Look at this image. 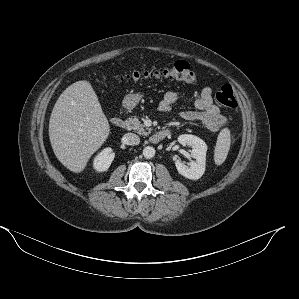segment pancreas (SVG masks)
Returning <instances> with one entry per match:
<instances>
[{
    "label": "pancreas",
    "mask_w": 299,
    "mask_h": 299,
    "mask_svg": "<svg viewBox=\"0 0 299 299\" xmlns=\"http://www.w3.org/2000/svg\"><path fill=\"white\" fill-rule=\"evenodd\" d=\"M127 130H134L140 135H148L151 132V128H144V125L141 124L138 117L134 116L125 121Z\"/></svg>",
    "instance_id": "obj_1"
}]
</instances>
